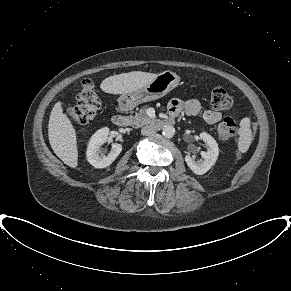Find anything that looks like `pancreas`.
<instances>
[{
    "label": "pancreas",
    "instance_id": "obj_1",
    "mask_svg": "<svg viewBox=\"0 0 291 291\" xmlns=\"http://www.w3.org/2000/svg\"><path fill=\"white\" fill-rule=\"evenodd\" d=\"M146 107L147 106H143L134 116L129 117V123L132 127L139 128L154 121V119H151L146 115Z\"/></svg>",
    "mask_w": 291,
    "mask_h": 291
}]
</instances>
